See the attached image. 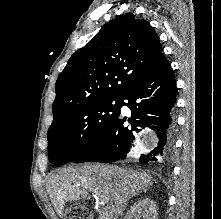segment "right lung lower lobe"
Here are the masks:
<instances>
[{"mask_svg":"<svg viewBox=\"0 0 221 219\" xmlns=\"http://www.w3.org/2000/svg\"><path fill=\"white\" fill-rule=\"evenodd\" d=\"M122 106L132 113L131 126L120 114L105 134L88 151L72 162L111 163L125 159L138 133L149 146L143 149L139 161L167 162L173 151L176 82L170 63L163 55L120 98ZM126 101V102H124Z\"/></svg>","mask_w":221,"mask_h":219,"instance_id":"right-lung-lower-lobe-1","label":"right lung lower lobe"}]
</instances>
